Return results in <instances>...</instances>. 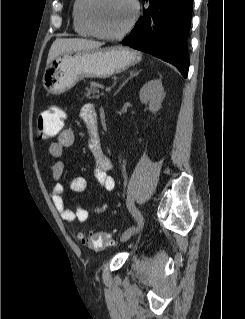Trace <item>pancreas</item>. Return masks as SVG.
<instances>
[{
    "label": "pancreas",
    "instance_id": "1",
    "mask_svg": "<svg viewBox=\"0 0 245 319\" xmlns=\"http://www.w3.org/2000/svg\"><path fill=\"white\" fill-rule=\"evenodd\" d=\"M102 88V85L96 82H90V87L86 88V92L84 93L87 98L95 99L99 98L100 96H103L104 93L100 91Z\"/></svg>",
    "mask_w": 245,
    "mask_h": 319
}]
</instances>
